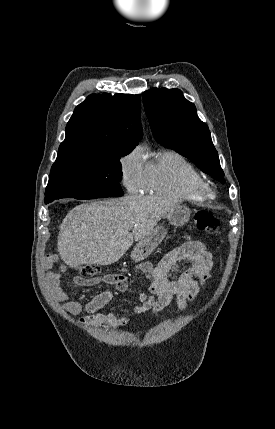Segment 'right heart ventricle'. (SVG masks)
<instances>
[{"instance_id": "e07e8e85", "label": "right heart ventricle", "mask_w": 275, "mask_h": 429, "mask_svg": "<svg viewBox=\"0 0 275 429\" xmlns=\"http://www.w3.org/2000/svg\"><path fill=\"white\" fill-rule=\"evenodd\" d=\"M203 179L199 170L175 150L160 151L145 164L143 190L148 194L190 202L203 201L197 184Z\"/></svg>"}]
</instances>
